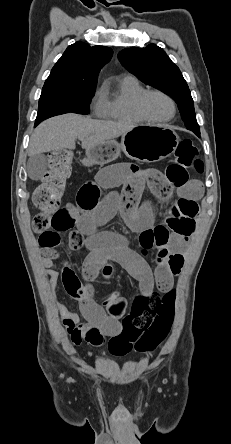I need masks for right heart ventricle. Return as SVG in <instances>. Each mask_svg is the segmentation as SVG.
I'll use <instances>...</instances> for the list:
<instances>
[{
    "label": "right heart ventricle",
    "instance_id": "e07e8e85",
    "mask_svg": "<svg viewBox=\"0 0 231 444\" xmlns=\"http://www.w3.org/2000/svg\"><path fill=\"white\" fill-rule=\"evenodd\" d=\"M144 90H146L144 86L135 77L122 78L117 93L107 99V109L103 117L123 124L144 122L137 115L134 107L137 97Z\"/></svg>",
    "mask_w": 231,
    "mask_h": 444
}]
</instances>
